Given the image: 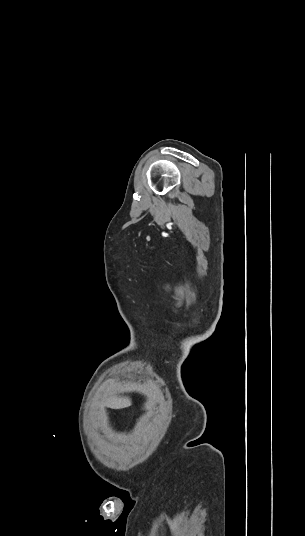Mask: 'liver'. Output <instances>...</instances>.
Returning <instances> with one entry per match:
<instances>
[{"label": "liver", "mask_w": 305, "mask_h": 536, "mask_svg": "<svg viewBox=\"0 0 305 536\" xmlns=\"http://www.w3.org/2000/svg\"><path fill=\"white\" fill-rule=\"evenodd\" d=\"M104 404L108 408H128V406H131V400L130 398H114V396H111V398H105Z\"/></svg>", "instance_id": "6515ba94"}]
</instances>
